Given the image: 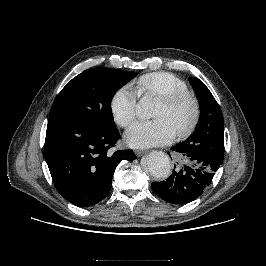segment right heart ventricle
I'll return each mask as SVG.
<instances>
[{
	"mask_svg": "<svg viewBox=\"0 0 266 266\" xmlns=\"http://www.w3.org/2000/svg\"><path fill=\"white\" fill-rule=\"evenodd\" d=\"M139 94L162 96L188 91L187 83L180 77L165 71L151 72L140 76L135 81Z\"/></svg>",
	"mask_w": 266,
	"mask_h": 266,
	"instance_id": "right-heart-ventricle-1",
	"label": "right heart ventricle"
}]
</instances>
